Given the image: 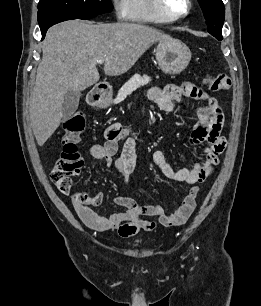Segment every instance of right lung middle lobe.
<instances>
[{
  "label": "right lung middle lobe",
  "mask_w": 261,
  "mask_h": 306,
  "mask_svg": "<svg viewBox=\"0 0 261 306\" xmlns=\"http://www.w3.org/2000/svg\"><path fill=\"white\" fill-rule=\"evenodd\" d=\"M113 9L111 0H40L38 11L100 15Z\"/></svg>",
  "instance_id": "obj_1"
}]
</instances>
